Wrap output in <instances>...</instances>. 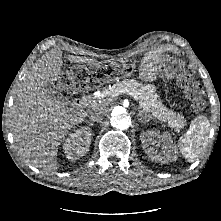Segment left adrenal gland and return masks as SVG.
Segmentation results:
<instances>
[{"instance_id":"1","label":"left adrenal gland","mask_w":221,"mask_h":221,"mask_svg":"<svg viewBox=\"0 0 221 221\" xmlns=\"http://www.w3.org/2000/svg\"><path fill=\"white\" fill-rule=\"evenodd\" d=\"M138 117H140L139 118V121L140 122H142V123H145V122H148L151 118L148 116V115H144L143 116V114L140 112L139 114H138Z\"/></svg>"}]
</instances>
